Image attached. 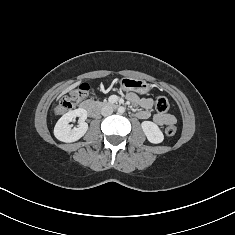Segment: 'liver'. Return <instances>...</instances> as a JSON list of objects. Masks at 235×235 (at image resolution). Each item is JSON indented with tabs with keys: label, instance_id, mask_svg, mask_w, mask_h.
Returning <instances> with one entry per match:
<instances>
[{
	"label": "liver",
	"instance_id": "obj_1",
	"mask_svg": "<svg viewBox=\"0 0 235 235\" xmlns=\"http://www.w3.org/2000/svg\"><path fill=\"white\" fill-rule=\"evenodd\" d=\"M78 85H79V82L72 84L71 86H69L68 88H66V89L61 93V95H64V94L68 93L69 91H71L72 89H74L75 87H77Z\"/></svg>",
	"mask_w": 235,
	"mask_h": 235
}]
</instances>
